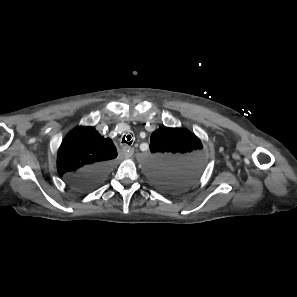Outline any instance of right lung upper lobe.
I'll use <instances>...</instances> for the list:
<instances>
[{
    "instance_id": "right-lung-upper-lobe-1",
    "label": "right lung upper lobe",
    "mask_w": 297,
    "mask_h": 297,
    "mask_svg": "<svg viewBox=\"0 0 297 297\" xmlns=\"http://www.w3.org/2000/svg\"><path fill=\"white\" fill-rule=\"evenodd\" d=\"M117 150L110 138L102 137L93 127L72 131L60 146L58 172L67 179L79 171L100 163H112Z\"/></svg>"
}]
</instances>
